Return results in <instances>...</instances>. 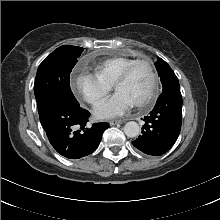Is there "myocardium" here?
Listing matches in <instances>:
<instances>
[{
    "mask_svg": "<svg viewBox=\"0 0 220 220\" xmlns=\"http://www.w3.org/2000/svg\"><path fill=\"white\" fill-rule=\"evenodd\" d=\"M139 65H145L148 68L151 78V85L148 95L142 101L135 103L137 107H145L155 100L158 92V76L155 66L150 59H137L131 62L115 80L114 88L127 81L132 71Z\"/></svg>",
    "mask_w": 220,
    "mask_h": 220,
    "instance_id": "1",
    "label": "myocardium"
}]
</instances>
